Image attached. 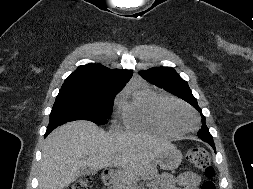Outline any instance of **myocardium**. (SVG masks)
<instances>
[{"label": "myocardium", "mask_w": 253, "mask_h": 189, "mask_svg": "<svg viewBox=\"0 0 253 189\" xmlns=\"http://www.w3.org/2000/svg\"><path fill=\"white\" fill-rule=\"evenodd\" d=\"M177 108H181L186 110L193 119V124L191 127H181L177 124V122L173 118V111ZM158 115L160 120L172 131L176 134H187L191 133L196 130L199 125V119L195 113V111L189 107L187 104L175 100V99H167L166 101L162 102L158 109Z\"/></svg>", "instance_id": "f54148a6"}]
</instances>
